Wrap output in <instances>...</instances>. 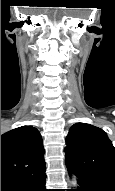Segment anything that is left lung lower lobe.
Masks as SVG:
<instances>
[{
  "label": "left lung lower lobe",
  "instance_id": "left-lung-lower-lobe-1",
  "mask_svg": "<svg viewBox=\"0 0 115 191\" xmlns=\"http://www.w3.org/2000/svg\"><path fill=\"white\" fill-rule=\"evenodd\" d=\"M69 169V168H68ZM70 173H74L78 177L79 187L71 191H115V185L103 179L92 176L79 175L69 169Z\"/></svg>",
  "mask_w": 115,
  "mask_h": 191
}]
</instances>
